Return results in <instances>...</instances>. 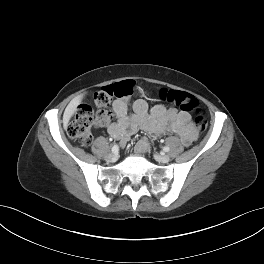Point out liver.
Masks as SVG:
<instances>
[{
    "label": "liver",
    "instance_id": "1",
    "mask_svg": "<svg viewBox=\"0 0 264 264\" xmlns=\"http://www.w3.org/2000/svg\"><path fill=\"white\" fill-rule=\"evenodd\" d=\"M84 97V94H80L76 97H74L70 103L67 105L64 114H63V125L66 128L68 125L69 120L74 115V113L77 110L78 105L81 103L82 99Z\"/></svg>",
    "mask_w": 264,
    "mask_h": 264
}]
</instances>
